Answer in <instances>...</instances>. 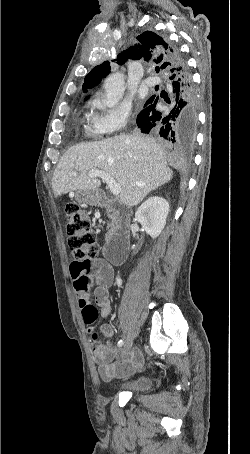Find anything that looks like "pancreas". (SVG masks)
Returning a JSON list of instances; mask_svg holds the SVG:
<instances>
[{"instance_id": "1", "label": "pancreas", "mask_w": 250, "mask_h": 454, "mask_svg": "<svg viewBox=\"0 0 250 454\" xmlns=\"http://www.w3.org/2000/svg\"><path fill=\"white\" fill-rule=\"evenodd\" d=\"M112 226H113V222H111V223H110V224L108 225V229H109V228H111ZM108 236H109V235H108V234H106V236H105V237L107 238Z\"/></svg>"}]
</instances>
